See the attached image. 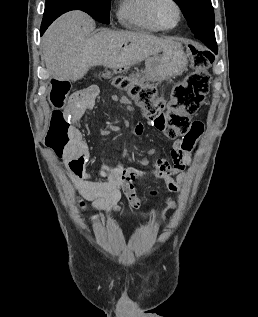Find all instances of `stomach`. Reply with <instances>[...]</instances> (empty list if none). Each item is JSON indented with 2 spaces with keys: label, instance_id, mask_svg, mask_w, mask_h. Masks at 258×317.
Wrapping results in <instances>:
<instances>
[{
  "label": "stomach",
  "instance_id": "stomach-1",
  "mask_svg": "<svg viewBox=\"0 0 258 317\" xmlns=\"http://www.w3.org/2000/svg\"><path fill=\"white\" fill-rule=\"evenodd\" d=\"M188 66V56L183 44L162 50V54H153L145 60V72L147 74H160V76H174L182 74Z\"/></svg>",
  "mask_w": 258,
  "mask_h": 317
}]
</instances>
